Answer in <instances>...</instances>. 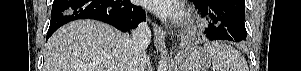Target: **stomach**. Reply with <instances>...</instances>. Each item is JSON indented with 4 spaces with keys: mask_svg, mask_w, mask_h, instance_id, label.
<instances>
[{
    "mask_svg": "<svg viewBox=\"0 0 301 71\" xmlns=\"http://www.w3.org/2000/svg\"><path fill=\"white\" fill-rule=\"evenodd\" d=\"M210 55L200 47L181 51L175 59V71H208Z\"/></svg>",
    "mask_w": 301,
    "mask_h": 71,
    "instance_id": "obj_1",
    "label": "stomach"
}]
</instances>
